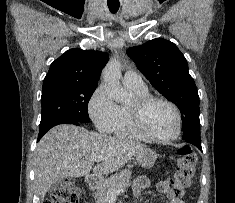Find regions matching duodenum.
I'll use <instances>...</instances> for the list:
<instances>
[{"label": "duodenum", "mask_w": 235, "mask_h": 203, "mask_svg": "<svg viewBox=\"0 0 235 203\" xmlns=\"http://www.w3.org/2000/svg\"><path fill=\"white\" fill-rule=\"evenodd\" d=\"M98 180L95 176H88L85 180V187L88 190H91L96 187Z\"/></svg>", "instance_id": "obj_1"}]
</instances>
